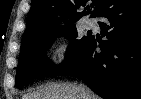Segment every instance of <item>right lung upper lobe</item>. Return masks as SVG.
<instances>
[{
  "instance_id": "obj_1",
  "label": "right lung upper lobe",
  "mask_w": 141,
  "mask_h": 99,
  "mask_svg": "<svg viewBox=\"0 0 141 99\" xmlns=\"http://www.w3.org/2000/svg\"><path fill=\"white\" fill-rule=\"evenodd\" d=\"M113 0H32V7L27 18V27L22 38V45L61 30L62 17L66 16L69 25L81 17L92 13L91 17H99L112 6ZM89 5L94 7L89 10ZM85 7L82 12L76 9Z\"/></svg>"
}]
</instances>
